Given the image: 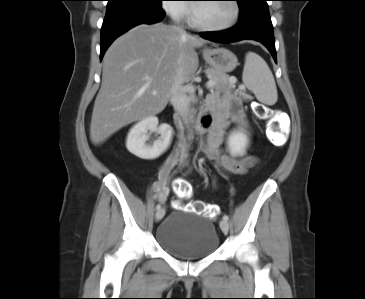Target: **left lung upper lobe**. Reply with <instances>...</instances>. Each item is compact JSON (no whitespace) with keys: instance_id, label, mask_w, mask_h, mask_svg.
<instances>
[{"instance_id":"1","label":"left lung upper lobe","mask_w":365,"mask_h":299,"mask_svg":"<svg viewBox=\"0 0 365 299\" xmlns=\"http://www.w3.org/2000/svg\"><path fill=\"white\" fill-rule=\"evenodd\" d=\"M236 1L238 2L239 7L242 8V7H245V6L249 5L250 3L258 1V0H236Z\"/></svg>"}]
</instances>
